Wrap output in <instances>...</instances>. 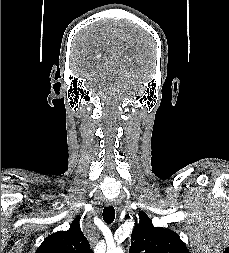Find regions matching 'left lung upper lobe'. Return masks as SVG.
Wrapping results in <instances>:
<instances>
[{
	"label": "left lung upper lobe",
	"mask_w": 229,
	"mask_h": 253,
	"mask_svg": "<svg viewBox=\"0 0 229 253\" xmlns=\"http://www.w3.org/2000/svg\"><path fill=\"white\" fill-rule=\"evenodd\" d=\"M139 219L132 231L129 253H189L175 232L154 227L144 212L139 213Z\"/></svg>",
	"instance_id": "obj_1"
}]
</instances>
